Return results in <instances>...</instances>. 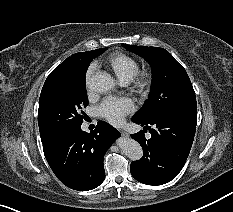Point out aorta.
<instances>
[{
	"mask_svg": "<svg viewBox=\"0 0 233 212\" xmlns=\"http://www.w3.org/2000/svg\"><path fill=\"white\" fill-rule=\"evenodd\" d=\"M90 87L92 90L98 93H106L115 87V81L111 75L107 73H97L92 76L90 81ZM123 154L133 161L140 160L143 156V149L141 145L131 139L122 137L117 141Z\"/></svg>",
	"mask_w": 233,
	"mask_h": 212,
	"instance_id": "aorta-1",
	"label": "aorta"
}]
</instances>
